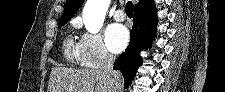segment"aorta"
Here are the masks:
<instances>
[{
  "label": "aorta",
  "mask_w": 225,
  "mask_h": 92,
  "mask_svg": "<svg viewBox=\"0 0 225 92\" xmlns=\"http://www.w3.org/2000/svg\"><path fill=\"white\" fill-rule=\"evenodd\" d=\"M110 0H87L83 9V22L88 32L94 34L103 26Z\"/></svg>",
  "instance_id": "obj_1"
}]
</instances>
